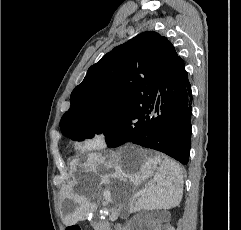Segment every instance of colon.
Here are the masks:
<instances>
[{
	"mask_svg": "<svg viewBox=\"0 0 241 230\" xmlns=\"http://www.w3.org/2000/svg\"><path fill=\"white\" fill-rule=\"evenodd\" d=\"M67 230H80V228L78 226H72L67 228Z\"/></svg>",
	"mask_w": 241,
	"mask_h": 230,
	"instance_id": "1",
	"label": "colon"
}]
</instances>
